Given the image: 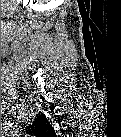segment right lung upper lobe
I'll return each instance as SVG.
<instances>
[{
	"instance_id": "obj_1",
	"label": "right lung upper lobe",
	"mask_w": 121,
	"mask_h": 137,
	"mask_svg": "<svg viewBox=\"0 0 121 137\" xmlns=\"http://www.w3.org/2000/svg\"><path fill=\"white\" fill-rule=\"evenodd\" d=\"M32 132L36 135L45 134L46 132L53 131L43 114H39L35 119L34 125L30 127Z\"/></svg>"
}]
</instances>
